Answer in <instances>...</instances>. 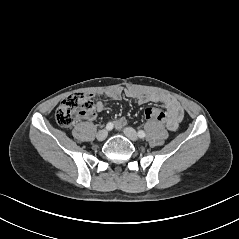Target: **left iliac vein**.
I'll list each match as a JSON object with an SVG mask.
<instances>
[{"label":"left iliac vein","instance_id":"left-iliac-vein-1","mask_svg":"<svg viewBox=\"0 0 239 239\" xmlns=\"http://www.w3.org/2000/svg\"><path fill=\"white\" fill-rule=\"evenodd\" d=\"M124 134L131 141H137L138 140V135H137L136 131L131 127H126L124 129Z\"/></svg>","mask_w":239,"mask_h":239}]
</instances>
